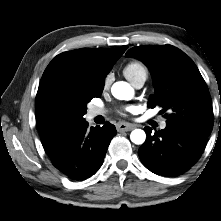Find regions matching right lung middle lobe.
Masks as SVG:
<instances>
[{"instance_id": "right-lung-middle-lobe-1", "label": "right lung middle lobe", "mask_w": 221, "mask_h": 221, "mask_svg": "<svg viewBox=\"0 0 221 221\" xmlns=\"http://www.w3.org/2000/svg\"><path fill=\"white\" fill-rule=\"evenodd\" d=\"M104 84L92 86L90 76L77 70L48 83L36 96V105L44 120L56 131L70 133L82 121L87 112L86 104L100 97Z\"/></svg>"}]
</instances>
